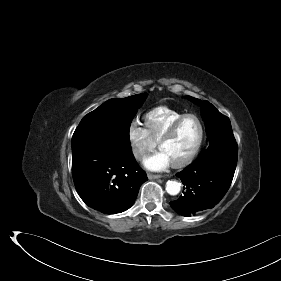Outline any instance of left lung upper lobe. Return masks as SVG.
I'll return each instance as SVG.
<instances>
[{"mask_svg":"<svg viewBox=\"0 0 281 281\" xmlns=\"http://www.w3.org/2000/svg\"><path fill=\"white\" fill-rule=\"evenodd\" d=\"M188 98L195 103L202 104V113L208 134V148L206 150H237L229 118L221 114L208 101L201 102L199 99L190 96Z\"/></svg>","mask_w":281,"mask_h":281,"instance_id":"1","label":"left lung upper lobe"}]
</instances>
